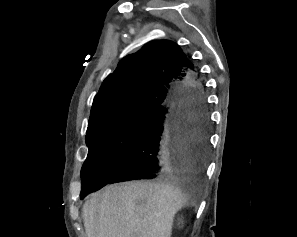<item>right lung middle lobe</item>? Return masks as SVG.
<instances>
[{"instance_id": "1", "label": "right lung middle lobe", "mask_w": 297, "mask_h": 237, "mask_svg": "<svg viewBox=\"0 0 297 237\" xmlns=\"http://www.w3.org/2000/svg\"><path fill=\"white\" fill-rule=\"evenodd\" d=\"M150 112H134L111 117L87 129V159L81 169L80 198L99 190L118 161L143 130Z\"/></svg>"}]
</instances>
